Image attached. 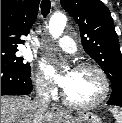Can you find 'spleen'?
<instances>
[{
    "label": "spleen",
    "mask_w": 122,
    "mask_h": 123,
    "mask_svg": "<svg viewBox=\"0 0 122 123\" xmlns=\"http://www.w3.org/2000/svg\"><path fill=\"white\" fill-rule=\"evenodd\" d=\"M109 110L113 114L116 123H122V110H119L118 108H110Z\"/></svg>",
    "instance_id": "obj_1"
}]
</instances>
